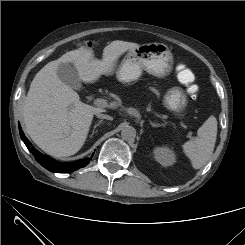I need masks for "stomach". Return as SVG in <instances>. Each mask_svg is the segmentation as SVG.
<instances>
[{"label":"stomach","instance_id":"obj_1","mask_svg":"<svg viewBox=\"0 0 245 245\" xmlns=\"http://www.w3.org/2000/svg\"><path fill=\"white\" fill-rule=\"evenodd\" d=\"M172 64L173 56L167 45L157 42L146 43L126 53L116 76L123 83L138 80L143 71L163 78L170 73ZM164 103L170 110L180 112L186 106V97L179 88H172L165 95Z\"/></svg>","mask_w":245,"mask_h":245}]
</instances>
